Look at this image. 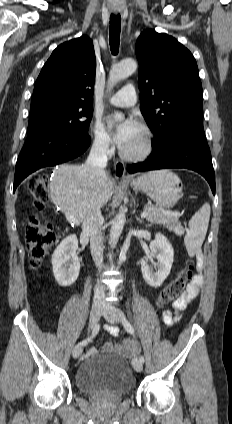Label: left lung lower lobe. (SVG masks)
Returning a JSON list of instances; mask_svg holds the SVG:
<instances>
[{
  "label": "left lung lower lobe",
  "instance_id": "0a47b994",
  "mask_svg": "<svg viewBox=\"0 0 232 424\" xmlns=\"http://www.w3.org/2000/svg\"><path fill=\"white\" fill-rule=\"evenodd\" d=\"M152 154L145 162L133 164L129 172L164 168H187L200 173L215 194V174L209 146L200 118L173 125L162 140L152 142Z\"/></svg>",
  "mask_w": 232,
  "mask_h": 424
}]
</instances>
